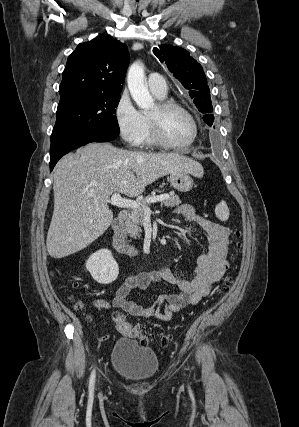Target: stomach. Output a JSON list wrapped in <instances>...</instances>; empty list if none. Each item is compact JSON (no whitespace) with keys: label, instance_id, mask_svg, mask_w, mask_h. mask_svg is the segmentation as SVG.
Masks as SVG:
<instances>
[{"label":"stomach","instance_id":"obj_1","mask_svg":"<svg viewBox=\"0 0 299 427\" xmlns=\"http://www.w3.org/2000/svg\"><path fill=\"white\" fill-rule=\"evenodd\" d=\"M168 179L171 186L179 192H188L194 186L190 173L185 171L172 172Z\"/></svg>","mask_w":299,"mask_h":427}]
</instances>
